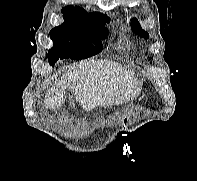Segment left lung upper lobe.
<instances>
[{
    "mask_svg": "<svg viewBox=\"0 0 197 181\" xmlns=\"http://www.w3.org/2000/svg\"><path fill=\"white\" fill-rule=\"evenodd\" d=\"M131 26H132V30H133L135 33H137L138 35H140V36H145L146 38L149 37L148 33L145 32V31L141 28L139 22H137L136 19H133V20L131 21Z\"/></svg>",
    "mask_w": 197,
    "mask_h": 181,
    "instance_id": "obj_1",
    "label": "left lung upper lobe"
}]
</instances>
